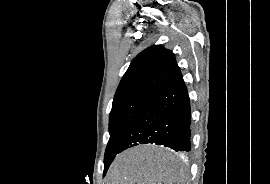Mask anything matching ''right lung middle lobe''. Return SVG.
<instances>
[{"label":"right lung middle lobe","mask_w":270,"mask_h":184,"mask_svg":"<svg viewBox=\"0 0 270 184\" xmlns=\"http://www.w3.org/2000/svg\"><path fill=\"white\" fill-rule=\"evenodd\" d=\"M148 98L149 96L145 95H135L113 102L109 116L110 139L105 151L104 175L119 153L122 141Z\"/></svg>","instance_id":"obj_1"}]
</instances>
